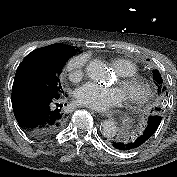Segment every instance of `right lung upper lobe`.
<instances>
[{
  "mask_svg": "<svg viewBox=\"0 0 177 177\" xmlns=\"http://www.w3.org/2000/svg\"><path fill=\"white\" fill-rule=\"evenodd\" d=\"M73 46L57 43L47 47L39 48L29 53L18 66L16 74L25 68L33 67L48 69L57 66L61 62L68 60L75 54Z\"/></svg>",
  "mask_w": 177,
  "mask_h": 177,
  "instance_id": "cb5924a9",
  "label": "right lung upper lobe"
}]
</instances>
